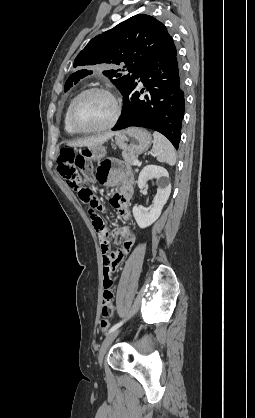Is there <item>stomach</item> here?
<instances>
[{
	"label": "stomach",
	"instance_id": "stomach-1",
	"mask_svg": "<svg viewBox=\"0 0 255 418\" xmlns=\"http://www.w3.org/2000/svg\"><path fill=\"white\" fill-rule=\"evenodd\" d=\"M115 143L123 152L139 155L149 149L151 134L142 128H128L117 132ZM79 152L85 159L92 161H100L106 155V149L103 146L85 147Z\"/></svg>",
	"mask_w": 255,
	"mask_h": 418
}]
</instances>
